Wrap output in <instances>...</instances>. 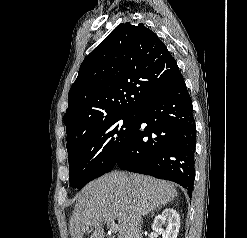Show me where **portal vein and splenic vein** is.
<instances>
[{
    "mask_svg": "<svg viewBox=\"0 0 247 238\" xmlns=\"http://www.w3.org/2000/svg\"><path fill=\"white\" fill-rule=\"evenodd\" d=\"M107 225L109 226L110 231L113 233H116L119 230V225L116 224L113 220L108 221Z\"/></svg>",
    "mask_w": 247,
    "mask_h": 238,
    "instance_id": "18ae733b",
    "label": "portal vein and splenic vein"
}]
</instances>
